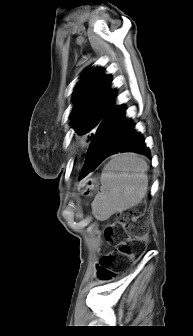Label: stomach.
Masks as SVG:
<instances>
[{"label": "stomach", "instance_id": "1", "mask_svg": "<svg viewBox=\"0 0 193 336\" xmlns=\"http://www.w3.org/2000/svg\"><path fill=\"white\" fill-rule=\"evenodd\" d=\"M82 194H85L87 196L93 195L95 191L98 190L99 183L96 178H91L88 180H85L82 185Z\"/></svg>", "mask_w": 193, "mask_h": 336}]
</instances>
